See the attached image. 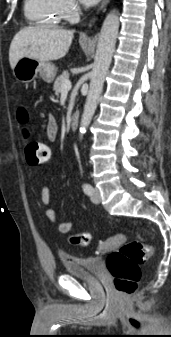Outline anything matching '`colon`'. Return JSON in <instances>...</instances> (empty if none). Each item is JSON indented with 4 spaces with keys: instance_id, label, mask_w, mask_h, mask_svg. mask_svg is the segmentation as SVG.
<instances>
[{
    "instance_id": "5ec220e1",
    "label": "colon",
    "mask_w": 171,
    "mask_h": 337,
    "mask_svg": "<svg viewBox=\"0 0 171 337\" xmlns=\"http://www.w3.org/2000/svg\"><path fill=\"white\" fill-rule=\"evenodd\" d=\"M20 123H26L28 115L24 108L18 112ZM24 154L29 165H38L49 161L52 150L47 145L25 133ZM91 236L89 233L72 235L73 245L88 246ZM99 253H109L107 268L113 277L114 287L119 296H129L137 288L141 277L140 265L151 255V247L140 241H126L124 234H116L98 243Z\"/></svg>"
}]
</instances>
